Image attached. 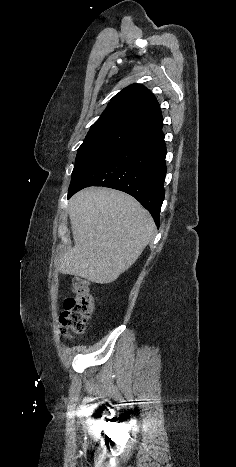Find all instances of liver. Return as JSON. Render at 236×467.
Here are the masks:
<instances>
[{
  "instance_id": "liver-1",
  "label": "liver",
  "mask_w": 236,
  "mask_h": 467,
  "mask_svg": "<svg viewBox=\"0 0 236 467\" xmlns=\"http://www.w3.org/2000/svg\"><path fill=\"white\" fill-rule=\"evenodd\" d=\"M74 246L60 256L58 271L107 284L128 270L152 239L150 213L132 196L91 187L69 201Z\"/></svg>"
}]
</instances>
